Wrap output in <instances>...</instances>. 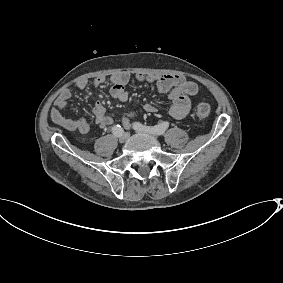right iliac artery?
Returning a JSON list of instances; mask_svg holds the SVG:
<instances>
[{
    "mask_svg": "<svg viewBox=\"0 0 283 283\" xmlns=\"http://www.w3.org/2000/svg\"><path fill=\"white\" fill-rule=\"evenodd\" d=\"M112 133L115 136L120 137L124 133V130L120 125H115L112 127Z\"/></svg>",
    "mask_w": 283,
    "mask_h": 283,
    "instance_id": "82829eb1",
    "label": "right iliac artery"
}]
</instances>
